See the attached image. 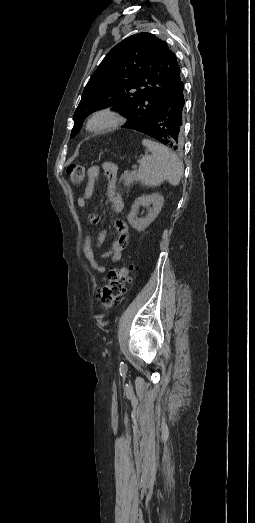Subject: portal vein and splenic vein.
Returning <instances> with one entry per match:
<instances>
[{
  "mask_svg": "<svg viewBox=\"0 0 255 523\" xmlns=\"http://www.w3.org/2000/svg\"><path fill=\"white\" fill-rule=\"evenodd\" d=\"M130 172L132 174H137L139 172V169L137 168V166H133L131 169H130Z\"/></svg>",
  "mask_w": 255,
  "mask_h": 523,
  "instance_id": "1",
  "label": "portal vein and splenic vein"
}]
</instances>
